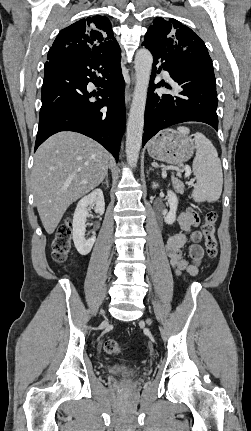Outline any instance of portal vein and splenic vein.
Returning a JSON list of instances; mask_svg holds the SVG:
<instances>
[{"label": "portal vein and splenic vein", "mask_w": 251, "mask_h": 431, "mask_svg": "<svg viewBox=\"0 0 251 431\" xmlns=\"http://www.w3.org/2000/svg\"><path fill=\"white\" fill-rule=\"evenodd\" d=\"M191 174V169L188 166H185V177H189Z\"/></svg>", "instance_id": "obj_1"}]
</instances>
